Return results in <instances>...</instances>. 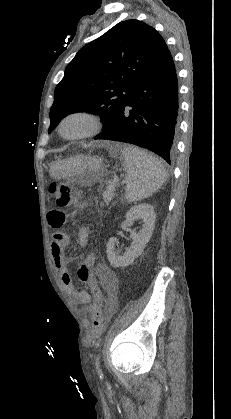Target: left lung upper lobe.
<instances>
[{"mask_svg": "<svg viewBox=\"0 0 231 419\" xmlns=\"http://www.w3.org/2000/svg\"><path fill=\"white\" fill-rule=\"evenodd\" d=\"M161 35L138 20L118 23L85 45L54 91L51 133L70 113L101 114L106 129L138 80L168 52Z\"/></svg>", "mask_w": 231, "mask_h": 419, "instance_id": "left-lung-upper-lobe-1", "label": "left lung upper lobe"}]
</instances>
